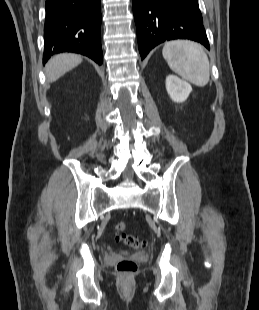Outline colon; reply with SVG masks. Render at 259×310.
I'll list each match as a JSON object with an SVG mask.
<instances>
[{
	"instance_id": "1",
	"label": "colon",
	"mask_w": 259,
	"mask_h": 310,
	"mask_svg": "<svg viewBox=\"0 0 259 310\" xmlns=\"http://www.w3.org/2000/svg\"><path fill=\"white\" fill-rule=\"evenodd\" d=\"M125 229L126 224L124 222L115 224L116 240L134 249L141 248L144 245L143 241L133 235L124 233ZM116 269L123 275H129L137 270V264L132 259H122L117 263Z\"/></svg>"
}]
</instances>
